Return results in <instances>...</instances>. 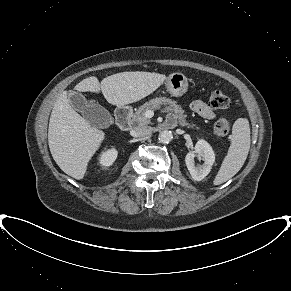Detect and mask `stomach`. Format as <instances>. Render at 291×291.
Listing matches in <instances>:
<instances>
[{
  "label": "stomach",
  "instance_id": "1",
  "mask_svg": "<svg viewBox=\"0 0 291 291\" xmlns=\"http://www.w3.org/2000/svg\"><path fill=\"white\" fill-rule=\"evenodd\" d=\"M167 91L174 97H180L188 90V80L182 73L170 74L164 82Z\"/></svg>",
  "mask_w": 291,
  "mask_h": 291
}]
</instances>
